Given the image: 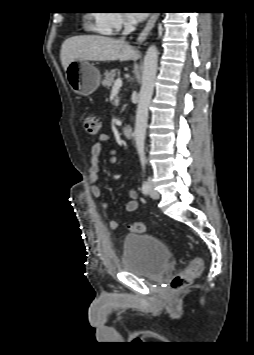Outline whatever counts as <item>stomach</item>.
I'll return each instance as SVG.
<instances>
[{"instance_id":"1","label":"stomach","mask_w":254,"mask_h":355,"mask_svg":"<svg viewBox=\"0 0 254 355\" xmlns=\"http://www.w3.org/2000/svg\"><path fill=\"white\" fill-rule=\"evenodd\" d=\"M71 89L79 95L88 96L100 85V71L86 60L72 61L66 69Z\"/></svg>"}]
</instances>
